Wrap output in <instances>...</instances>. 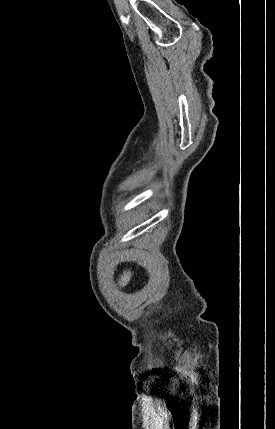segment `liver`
Instances as JSON below:
<instances>
[{
  "label": "liver",
  "instance_id": "liver-1",
  "mask_svg": "<svg viewBox=\"0 0 275 429\" xmlns=\"http://www.w3.org/2000/svg\"><path fill=\"white\" fill-rule=\"evenodd\" d=\"M131 276H132V273L129 270L124 271L123 275H121L119 279L120 286H125L130 281Z\"/></svg>",
  "mask_w": 275,
  "mask_h": 429
}]
</instances>
